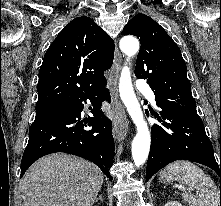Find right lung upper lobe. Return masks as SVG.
Instances as JSON below:
<instances>
[{"label":"right lung upper lobe","instance_id":"right-lung-upper-lobe-1","mask_svg":"<svg viewBox=\"0 0 221 206\" xmlns=\"http://www.w3.org/2000/svg\"><path fill=\"white\" fill-rule=\"evenodd\" d=\"M114 42L91 18L73 19L48 48L39 70L36 108L66 106L106 82Z\"/></svg>","mask_w":221,"mask_h":206}]
</instances>
